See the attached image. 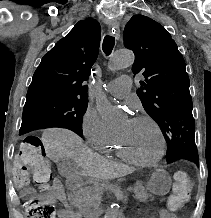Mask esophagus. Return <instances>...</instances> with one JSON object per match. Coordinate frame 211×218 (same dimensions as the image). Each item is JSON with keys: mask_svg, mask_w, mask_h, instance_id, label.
<instances>
[{"mask_svg": "<svg viewBox=\"0 0 211 218\" xmlns=\"http://www.w3.org/2000/svg\"><path fill=\"white\" fill-rule=\"evenodd\" d=\"M109 33L113 34L117 40L120 38V26L118 23H111L108 25Z\"/></svg>", "mask_w": 211, "mask_h": 218, "instance_id": "obj_1", "label": "esophagus"}]
</instances>
